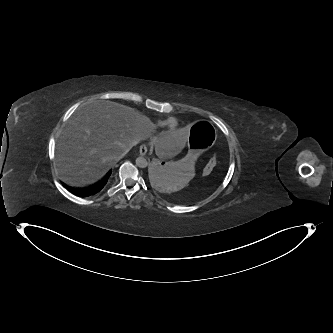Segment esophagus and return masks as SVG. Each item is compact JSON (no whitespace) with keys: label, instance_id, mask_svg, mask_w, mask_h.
Returning a JSON list of instances; mask_svg holds the SVG:
<instances>
[{"label":"esophagus","instance_id":"obj_1","mask_svg":"<svg viewBox=\"0 0 333 333\" xmlns=\"http://www.w3.org/2000/svg\"><path fill=\"white\" fill-rule=\"evenodd\" d=\"M148 148L145 144L141 145L139 148V153L141 156H145L147 154Z\"/></svg>","mask_w":333,"mask_h":333}]
</instances>
